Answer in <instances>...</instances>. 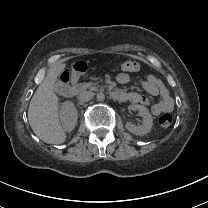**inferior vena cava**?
I'll return each mask as SVG.
<instances>
[{"instance_id":"602c4592","label":"inferior vena cava","mask_w":208,"mask_h":208,"mask_svg":"<svg viewBox=\"0 0 208 208\" xmlns=\"http://www.w3.org/2000/svg\"><path fill=\"white\" fill-rule=\"evenodd\" d=\"M94 96V93L91 91H83L79 94V100L81 102H87L90 101Z\"/></svg>"}]
</instances>
